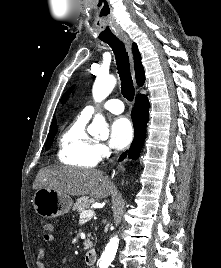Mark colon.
<instances>
[{"mask_svg":"<svg viewBox=\"0 0 221 268\" xmlns=\"http://www.w3.org/2000/svg\"><path fill=\"white\" fill-rule=\"evenodd\" d=\"M41 227L43 228L45 232H49L53 228L52 224L45 220L41 221Z\"/></svg>","mask_w":221,"mask_h":268,"instance_id":"colon-1","label":"colon"}]
</instances>
